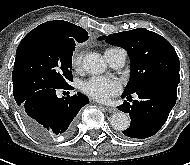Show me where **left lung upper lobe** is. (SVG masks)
I'll list each match as a JSON object with an SVG mask.
<instances>
[{
  "instance_id": "1",
  "label": "left lung upper lobe",
  "mask_w": 190,
  "mask_h": 165,
  "mask_svg": "<svg viewBox=\"0 0 190 165\" xmlns=\"http://www.w3.org/2000/svg\"><path fill=\"white\" fill-rule=\"evenodd\" d=\"M98 39L120 46L129 54L131 76L123 94H132L158 80L180 82L179 58L172 45L161 35L138 28Z\"/></svg>"
}]
</instances>
